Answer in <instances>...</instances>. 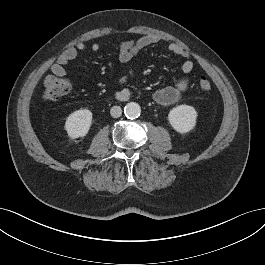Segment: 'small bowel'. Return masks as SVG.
Masks as SVG:
<instances>
[{"mask_svg": "<svg viewBox=\"0 0 265 265\" xmlns=\"http://www.w3.org/2000/svg\"><path fill=\"white\" fill-rule=\"evenodd\" d=\"M160 38L156 35H146L138 39H129L123 41L118 48V57L122 62H129L144 48L157 44L160 42ZM101 48V44L95 41L91 45L93 52H98ZM86 50V44L84 42H78L73 47L67 48L58 58V60L52 65L51 72L59 77L66 76V66L72 60H74L79 52ZM167 52L173 55L181 56L185 58L180 70L184 74L175 85L167 86L155 91L153 98L161 105H172L179 102L183 94L187 91L190 85L189 74L194 68V64L190 59L189 52L181 45L177 43H170L166 48ZM133 77V71L130 69L128 73L119 78V83H125L129 78ZM126 94V92H123Z\"/></svg>", "mask_w": 265, "mask_h": 265, "instance_id": "obj_1", "label": "small bowel"}]
</instances>
